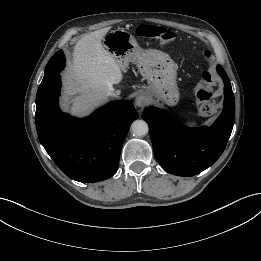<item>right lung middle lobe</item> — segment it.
I'll return each instance as SVG.
<instances>
[{
	"label": "right lung middle lobe",
	"instance_id": "obj_1",
	"mask_svg": "<svg viewBox=\"0 0 261 261\" xmlns=\"http://www.w3.org/2000/svg\"><path fill=\"white\" fill-rule=\"evenodd\" d=\"M64 55L62 50H59L54 56L49 60L46 68L44 78L39 86L38 92L42 91L47 85L52 81L54 75L60 72L64 68Z\"/></svg>",
	"mask_w": 261,
	"mask_h": 261
}]
</instances>
